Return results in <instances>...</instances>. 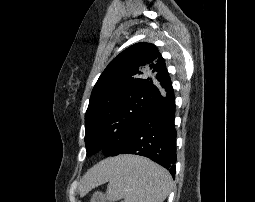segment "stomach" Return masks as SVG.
I'll use <instances>...</instances> for the list:
<instances>
[{
  "label": "stomach",
  "mask_w": 255,
  "mask_h": 202,
  "mask_svg": "<svg viewBox=\"0 0 255 202\" xmlns=\"http://www.w3.org/2000/svg\"><path fill=\"white\" fill-rule=\"evenodd\" d=\"M106 198L99 192H96L91 197L90 202H105Z\"/></svg>",
  "instance_id": "obj_1"
}]
</instances>
